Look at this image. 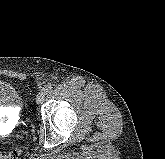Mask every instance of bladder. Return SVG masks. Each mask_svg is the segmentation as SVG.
<instances>
[{"label": "bladder", "instance_id": "obj_1", "mask_svg": "<svg viewBox=\"0 0 165 159\" xmlns=\"http://www.w3.org/2000/svg\"><path fill=\"white\" fill-rule=\"evenodd\" d=\"M20 103L18 90L11 83L0 80V106H15Z\"/></svg>", "mask_w": 165, "mask_h": 159}]
</instances>
